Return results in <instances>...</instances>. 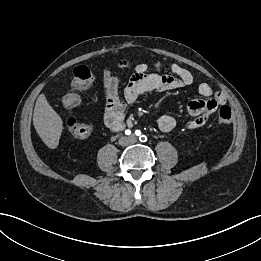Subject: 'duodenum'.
Returning a JSON list of instances; mask_svg holds the SVG:
<instances>
[{
	"label": "duodenum",
	"mask_w": 261,
	"mask_h": 261,
	"mask_svg": "<svg viewBox=\"0 0 261 261\" xmlns=\"http://www.w3.org/2000/svg\"><path fill=\"white\" fill-rule=\"evenodd\" d=\"M123 127V125H121L118 129H121Z\"/></svg>",
	"instance_id": "obj_1"
}]
</instances>
